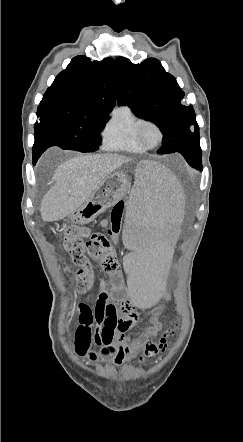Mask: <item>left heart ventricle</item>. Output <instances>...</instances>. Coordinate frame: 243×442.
I'll use <instances>...</instances> for the list:
<instances>
[{"instance_id":"left-heart-ventricle-1","label":"left heart ventricle","mask_w":243,"mask_h":442,"mask_svg":"<svg viewBox=\"0 0 243 442\" xmlns=\"http://www.w3.org/2000/svg\"><path fill=\"white\" fill-rule=\"evenodd\" d=\"M142 137L147 144L154 145L159 140V133L154 126L147 125L142 131Z\"/></svg>"}]
</instances>
